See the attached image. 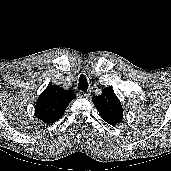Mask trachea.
Instances as JSON below:
<instances>
[{
  "instance_id": "3493384b",
  "label": "trachea",
  "mask_w": 171,
  "mask_h": 171,
  "mask_svg": "<svg viewBox=\"0 0 171 171\" xmlns=\"http://www.w3.org/2000/svg\"><path fill=\"white\" fill-rule=\"evenodd\" d=\"M88 86L89 85H88V81H87L86 76L83 75V74L80 75V77H79V83H78V89L86 92L87 89H88Z\"/></svg>"
}]
</instances>
